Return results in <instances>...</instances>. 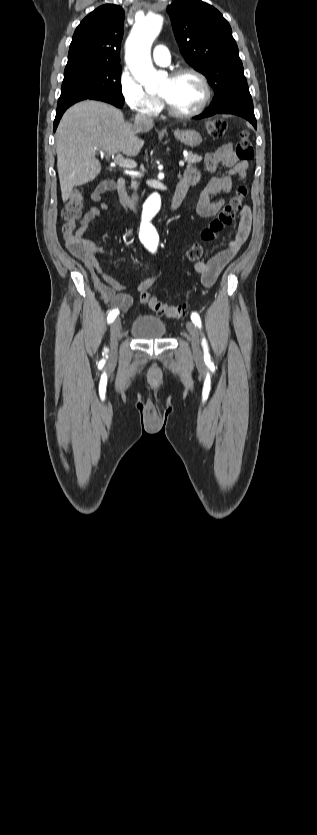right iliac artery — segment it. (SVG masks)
<instances>
[{
	"instance_id": "right-iliac-artery-1",
	"label": "right iliac artery",
	"mask_w": 317,
	"mask_h": 835,
	"mask_svg": "<svg viewBox=\"0 0 317 835\" xmlns=\"http://www.w3.org/2000/svg\"><path fill=\"white\" fill-rule=\"evenodd\" d=\"M118 314H119V311H118L117 309H112V310L109 312L108 317H107V321H108V323L113 322V321H114V319L117 317V315H118Z\"/></svg>"
}]
</instances>
